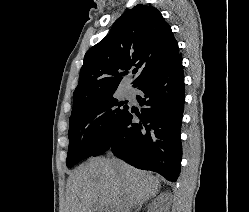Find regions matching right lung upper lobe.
I'll return each mask as SVG.
<instances>
[{"mask_svg":"<svg viewBox=\"0 0 249 212\" xmlns=\"http://www.w3.org/2000/svg\"><path fill=\"white\" fill-rule=\"evenodd\" d=\"M179 55L171 28L155 7L138 4L115 21L110 33L87 51L73 94V109L114 95L128 70L139 87Z\"/></svg>","mask_w":249,"mask_h":212,"instance_id":"cb5924a9","label":"right lung upper lobe"}]
</instances>
